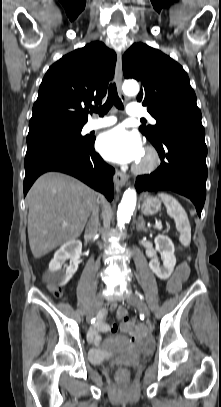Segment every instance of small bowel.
<instances>
[{
  "label": "small bowel",
  "mask_w": 221,
  "mask_h": 407,
  "mask_svg": "<svg viewBox=\"0 0 221 407\" xmlns=\"http://www.w3.org/2000/svg\"><path fill=\"white\" fill-rule=\"evenodd\" d=\"M116 304L112 303L104 308H102L97 316L96 322L92 330L89 332V340L94 344H100L102 341L101 333L110 335L116 333L119 326L115 324H108L105 322V318L110 310L115 309ZM117 316V313H116ZM122 332H129V330H122Z\"/></svg>",
  "instance_id": "1"
}]
</instances>
